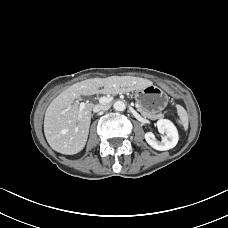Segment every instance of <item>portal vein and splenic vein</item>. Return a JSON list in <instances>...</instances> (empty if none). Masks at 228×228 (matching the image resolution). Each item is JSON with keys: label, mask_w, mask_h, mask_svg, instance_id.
<instances>
[{"label": "portal vein and splenic vein", "mask_w": 228, "mask_h": 228, "mask_svg": "<svg viewBox=\"0 0 228 228\" xmlns=\"http://www.w3.org/2000/svg\"><path fill=\"white\" fill-rule=\"evenodd\" d=\"M111 100H112V97L103 96V97L99 98V101L101 103H109ZM84 107H85V103L84 102H80L79 103V118L81 117V113H82Z\"/></svg>", "instance_id": "portal-vein-and-splenic-vein-1"}]
</instances>
